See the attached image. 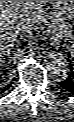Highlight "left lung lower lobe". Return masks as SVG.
I'll use <instances>...</instances> for the list:
<instances>
[{"mask_svg": "<svg viewBox=\"0 0 74 122\" xmlns=\"http://www.w3.org/2000/svg\"><path fill=\"white\" fill-rule=\"evenodd\" d=\"M62 89L74 93V75L71 73L65 80L59 83Z\"/></svg>", "mask_w": 74, "mask_h": 122, "instance_id": "0a47b994", "label": "left lung lower lobe"}]
</instances>
